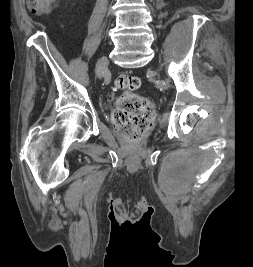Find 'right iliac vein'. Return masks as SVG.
I'll use <instances>...</instances> for the list:
<instances>
[{"label": "right iliac vein", "instance_id": "1", "mask_svg": "<svg viewBox=\"0 0 253 267\" xmlns=\"http://www.w3.org/2000/svg\"><path fill=\"white\" fill-rule=\"evenodd\" d=\"M107 64V59L105 57H101L97 63V71H101Z\"/></svg>", "mask_w": 253, "mask_h": 267}]
</instances>
